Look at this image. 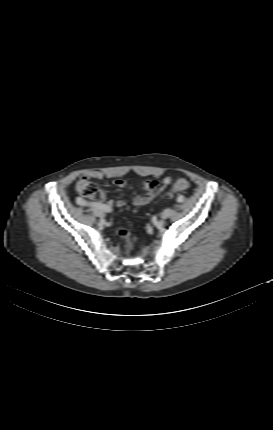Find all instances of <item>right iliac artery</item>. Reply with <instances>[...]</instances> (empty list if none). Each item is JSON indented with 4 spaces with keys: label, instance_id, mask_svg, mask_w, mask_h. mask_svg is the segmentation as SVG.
Returning a JSON list of instances; mask_svg holds the SVG:
<instances>
[{
    "label": "right iliac artery",
    "instance_id": "right-iliac-artery-1",
    "mask_svg": "<svg viewBox=\"0 0 273 430\" xmlns=\"http://www.w3.org/2000/svg\"><path fill=\"white\" fill-rule=\"evenodd\" d=\"M76 202L77 203H80L81 204V206H91V207H98V208H100L101 210H103V211H105V212H110L111 211V208L110 207H108L107 205H105V204H99L98 202H93V201H87V200H83V199H81L80 197H78L77 199H76Z\"/></svg>",
    "mask_w": 273,
    "mask_h": 430
}]
</instances>
